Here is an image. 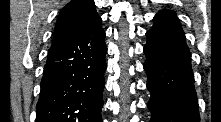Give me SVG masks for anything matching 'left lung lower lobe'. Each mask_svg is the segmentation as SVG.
Masks as SVG:
<instances>
[{"label": "left lung lower lobe", "mask_w": 221, "mask_h": 122, "mask_svg": "<svg viewBox=\"0 0 221 122\" xmlns=\"http://www.w3.org/2000/svg\"><path fill=\"white\" fill-rule=\"evenodd\" d=\"M153 20L144 47L150 122H199L191 55L179 19L162 10Z\"/></svg>", "instance_id": "0a47b994"}]
</instances>
